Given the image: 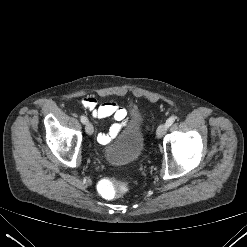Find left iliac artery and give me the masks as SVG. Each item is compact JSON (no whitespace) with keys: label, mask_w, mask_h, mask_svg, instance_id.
Returning <instances> with one entry per match:
<instances>
[{"label":"left iliac artery","mask_w":247,"mask_h":247,"mask_svg":"<svg viewBox=\"0 0 247 247\" xmlns=\"http://www.w3.org/2000/svg\"><path fill=\"white\" fill-rule=\"evenodd\" d=\"M174 121H175V116H171L170 118H168V120L166 121L167 127L171 126Z\"/></svg>","instance_id":"left-iliac-artery-1"}]
</instances>
